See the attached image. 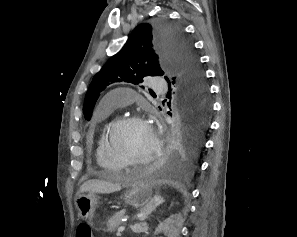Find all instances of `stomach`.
Listing matches in <instances>:
<instances>
[{
	"label": "stomach",
	"instance_id": "obj_1",
	"mask_svg": "<svg viewBox=\"0 0 297 237\" xmlns=\"http://www.w3.org/2000/svg\"><path fill=\"white\" fill-rule=\"evenodd\" d=\"M125 202L133 207H143L152 201V187L147 182H137L125 193ZM98 197L94 193L81 194L76 199L79 216L83 220H92Z\"/></svg>",
	"mask_w": 297,
	"mask_h": 237
}]
</instances>
